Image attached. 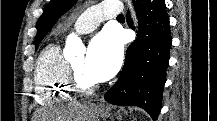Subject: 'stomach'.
I'll return each mask as SVG.
<instances>
[{
	"label": "stomach",
	"instance_id": "0dacf381",
	"mask_svg": "<svg viewBox=\"0 0 217 121\" xmlns=\"http://www.w3.org/2000/svg\"><path fill=\"white\" fill-rule=\"evenodd\" d=\"M113 112L110 106H96L95 116L103 119L112 117Z\"/></svg>",
	"mask_w": 217,
	"mask_h": 121
}]
</instances>
